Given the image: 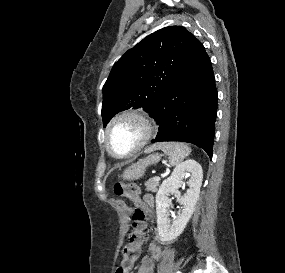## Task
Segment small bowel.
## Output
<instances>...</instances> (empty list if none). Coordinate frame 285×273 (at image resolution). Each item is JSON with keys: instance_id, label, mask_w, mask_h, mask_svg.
Returning <instances> with one entry per match:
<instances>
[{"instance_id": "c3829d8e", "label": "small bowel", "mask_w": 285, "mask_h": 273, "mask_svg": "<svg viewBox=\"0 0 285 273\" xmlns=\"http://www.w3.org/2000/svg\"><path fill=\"white\" fill-rule=\"evenodd\" d=\"M141 199L148 204L149 209L147 211L150 212V209L154 206L153 197L151 195H145ZM149 253V256L142 258L137 273H155L156 261L160 260L162 257L161 246L157 242H151L149 244Z\"/></svg>"}]
</instances>
